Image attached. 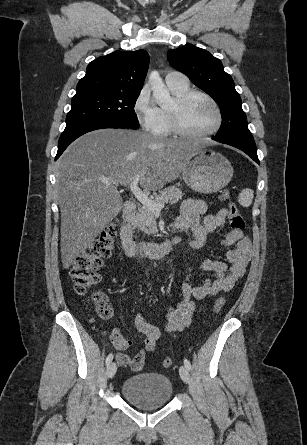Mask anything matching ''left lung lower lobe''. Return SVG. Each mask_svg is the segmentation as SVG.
Wrapping results in <instances>:
<instances>
[{
  "instance_id": "obj_1",
  "label": "left lung lower lobe",
  "mask_w": 307,
  "mask_h": 445,
  "mask_svg": "<svg viewBox=\"0 0 307 445\" xmlns=\"http://www.w3.org/2000/svg\"><path fill=\"white\" fill-rule=\"evenodd\" d=\"M213 140H216L221 143H225L231 146H234L243 152H245L248 156H250L256 163L259 164V159L257 156V148L254 142V139H244V138H218L213 137Z\"/></svg>"
}]
</instances>
